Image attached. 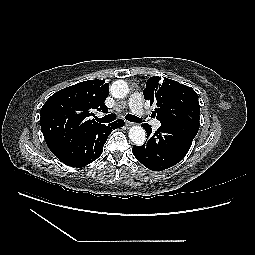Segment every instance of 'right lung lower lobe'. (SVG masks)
<instances>
[{"label":"right lung lower lobe","mask_w":255,"mask_h":255,"mask_svg":"<svg viewBox=\"0 0 255 255\" xmlns=\"http://www.w3.org/2000/svg\"><path fill=\"white\" fill-rule=\"evenodd\" d=\"M123 125V120H116L107 126L102 124L90 128L75 137L55 156L68 166L84 167L99 158L108 135Z\"/></svg>","instance_id":"obj_1"}]
</instances>
